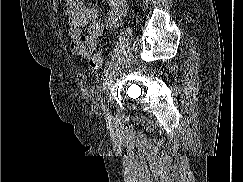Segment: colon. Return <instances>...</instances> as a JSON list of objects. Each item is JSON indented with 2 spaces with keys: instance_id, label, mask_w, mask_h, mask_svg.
<instances>
[{
  "instance_id": "obj_1",
  "label": "colon",
  "mask_w": 243,
  "mask_h": 182,
  "mask_svg": "<svg viewBox=\"0 0 243 182\" xmlns=\"http://www.w3.org/2000/svg\"><path fill=\"white\" fill-rule=\"evenodd\" d=\"M102 63H103V53L101 51L95 52L89 60V66L91 69L94 70L101 68Z\"/></svg>"
}]
</instances>
